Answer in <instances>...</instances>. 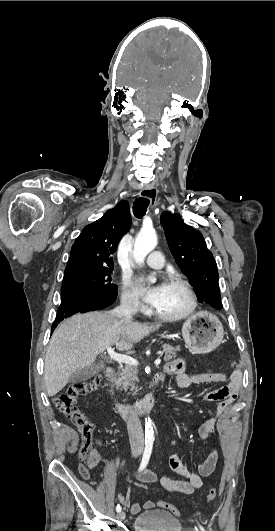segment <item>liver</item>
I'll return each instance as SVG.
<instances>
[{"instance_id": "obj_1", "label": "liver", "mask_w": 275, "mask_h": 531, "mask_svg": "<svg viewBox=\"0 0 275 531\" xmlns=\"http://www.w3.org/2000/svg\"><path fill=\"white\" fill-rule=\"evenodd\" d=\"M111 311L85 313L66 319L55 329L46 353L44 381L47 395L54 397L66 387L72 373L93 365L97 355L116 345L118 351H130L158 325L132 323L118 319Z\"/></svg>"}]
</instances>
